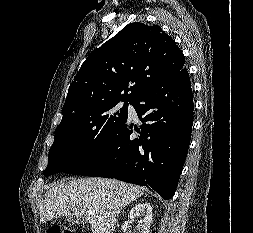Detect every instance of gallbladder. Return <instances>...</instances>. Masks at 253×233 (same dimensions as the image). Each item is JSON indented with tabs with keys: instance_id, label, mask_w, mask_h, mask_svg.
Masks as SVG:
<instances>
[{
	"instance_id": "gallbladder-1",
	"label": "gallbladder",
	"mask_w": 253,
	"mask_h": 233,
	"mask_svg": "<svg viewBox=\"0 0 253 233\" xmlns=\"http://www.w3.org/2000/svg\"><path fill=\"white\" fill-rule=\"evenodd\" d=\"M73 223L84 224V219H71Z\"/></svg>"
}]
</instances>
